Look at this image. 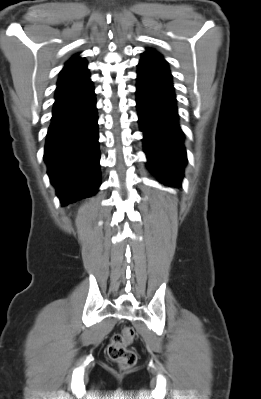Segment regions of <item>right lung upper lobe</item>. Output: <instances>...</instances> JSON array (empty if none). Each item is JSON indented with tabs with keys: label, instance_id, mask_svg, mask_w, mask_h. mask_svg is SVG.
Masks as SVG:
<instances>
[{
	"label": "right lung upper lobe",
	"instance_id": "cb5924a9",
	"mask_svg": "<svg viewBox=\"0 0 261 399\" xmlns=\"http://www.w3.org/2000/svg\"><path fill=\"white\" fill-rule=\"evenodd\" d=\"M88 74L87 62L84 58L74 55L61 70L57 85H64L78 80Z\"/></svg>",
	"mask_w": 261,
	"mask_h": 399
}]
</instances>
